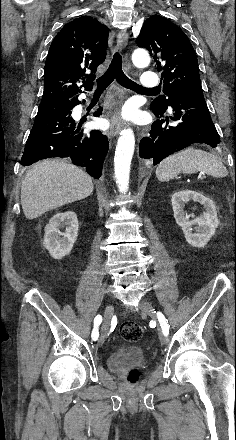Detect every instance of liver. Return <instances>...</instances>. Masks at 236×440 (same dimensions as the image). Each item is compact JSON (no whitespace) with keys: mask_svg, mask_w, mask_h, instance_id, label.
I'll return each mask as SVG.
<instances>
[{"mask_svg":"<svg viewBox=\"0 0 236 440\" xmlns=\"http://www.w3.org/2000/svg\"><path fill=\"white\" fill-rule=\"evenodd\" d=\"M94 189L88 174L74 165L45 160L26 174L21 186V205L27 219L88 197Z\"/></svg>","mask_w":236,"mask_h":440,"instance_id":"liver-1","label":"liver"}]
</instances>
